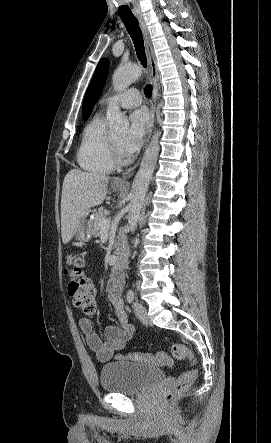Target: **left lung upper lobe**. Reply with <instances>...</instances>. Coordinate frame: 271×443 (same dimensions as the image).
<instances>
[{
  "label": "left lung upper lobe",
  "mask_w": 271,
  "mask_h": 443,
  "mask_svg": "<svg viewBox=\"0 0 271 443\" xmlns=\"http://www.w3.org/2000/svg\"><path fill=\"white\" fill-rule=\"evenodd\" d=\"M108 72V61L106 58H103L96 67L95 73L83 100L82 118L84 120L90 116L95 103L100 98Z\"/></svg>",
  "instance_id": "left-lung-upper-lobe-1"
}]
</instances>
